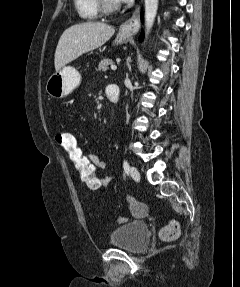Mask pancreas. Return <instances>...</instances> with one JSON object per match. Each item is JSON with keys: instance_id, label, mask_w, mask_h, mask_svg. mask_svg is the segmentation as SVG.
<instances>
[{"instance_id": "cf45deb5", "label": "pancreas", "mask_w": 240, "mask_h": 287, "mask_svg": "<svg viewBox=\"0 0 240 287\" xmlns=\"http://www.w3.org/2000/svg\"><path fill=\"white\" fill-rule=\"evenodd\" d=\"M114 62L111 60V59H103L100 63H99V65H98V67H97V71H107V69H108V66L109 65H111V64H113Z\"/></svg>"}]
</instances>
